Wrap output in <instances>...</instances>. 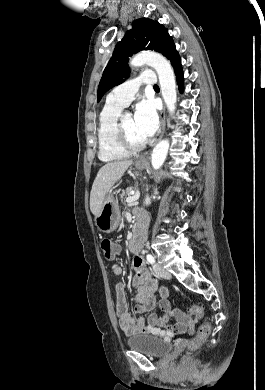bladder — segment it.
Listing matches in <instances>:
<instances>
[{
    "mask_svg": "<svg viewBox=\"0 0 265 390\" xmlns=\"http://www.w3.org/2000/svg\"><path fill=\"white\" fill-rule=\"evenodd\" d=\"M127 345L132 350L152 357H161L168 353L172 348L171 344L166 342L163 338L148 334L130 337L127 340Z\"/></svg>",
    "mask_w": 265,
    "mask_h": 390,
    "instance_id": "bladder-1",
    "label": "bladder"
}]
</instances>
